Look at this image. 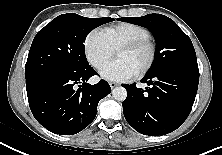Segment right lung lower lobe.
I'll return each instance as SVG.
<instances>
[{"label": "right lung lower lobe", "mask_w": 222, "mask_h": 155, "mask_svg": "<svg viewBox=\"0 0 222 155\" xmlns=\"http://www.w3.org/2000/svg\"><path fill=\"white\" fill-rule=\"evenodd\" d=\"M96 74L89 66L72 74H47L26 84L29 106L36 120L60 135H73L86 128L97 114L99 100L111 92L103 79L95 85L86 83Z\"/></svg>", "instance_id": "98d812e1"}]
</instances>
